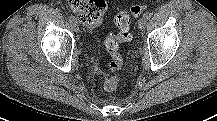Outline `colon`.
I'll return each mask as SVG.
<instances>
[{"label": "colon", "mask_w": 217, "mask_h": 121, "mask_svg": "<svg viewBox=\"0 0 217 121\" xmlns=\"http://www.w3.org/2000/svg\"><path fill=\"white\" fill-rule=\"evenodd\" d=\"M68 8L77 15L81 22L90 26L101 25L107 9L105 0H66ZM146 9L145 5L133 4L128 10L120 12L115 17L118 34L105 41V48L111 56L110 71L112 76L104 81L103 88L107 92L114 91L119 83L122 57L119 53V43L132 39L130 32V16L138 17Z\"/></svg>", "instance_id": "colon-1"}]
</instances>
